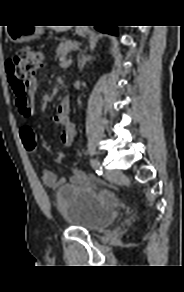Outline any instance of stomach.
<instances>
[{"mask_svg":"<svg viewBox=\"0 0 184 292\" xmlns=\"http://www.w3.org/2000/svg\"><path fill=\"white\" fill-rule=\"evenodd\" d=\"M42 33V28L38 26H27L20 29H9V38L15 43H22L24 41L32 40ZM84 35L85 32H79Z\"/></svg>","mask_w":184,"mask_h":292,"instance_id":"obj_1","label":"stomach"}]
</instances>
